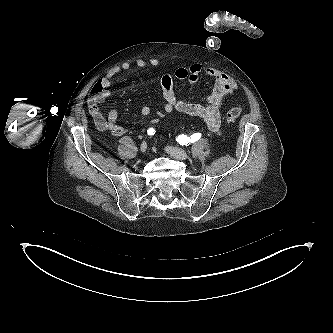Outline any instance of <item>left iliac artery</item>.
Returning <instances> with one entry per match:
<instances>
[{
    "instance_id": "1",
    "label": "left iliac artery",
    "mask_w": 333,
    "mask_h": 333,
    "mask_svg": "<svg viewBox=\"0 0 333 333\" xmlns=\"http://www.w3.org/2000/svg\"><path fill=\"white\" fill-rule=\"evenodd\" d=\"M200 138H201L200 133H195L189 137L187 135H179L177 138V142H179L180 145H188L189 143L196 142Z\"/></svg>"
}]
</instances>
